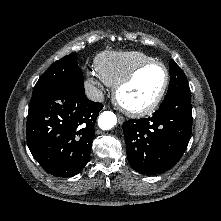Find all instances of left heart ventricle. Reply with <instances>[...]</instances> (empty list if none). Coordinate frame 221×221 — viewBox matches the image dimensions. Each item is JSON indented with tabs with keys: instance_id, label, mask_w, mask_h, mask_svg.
<instances>
[{
	"instance_id": "1",
	"label": "left heart ventricle",
	"mask_w": 221,
	"mask_h": 221,
	"mask_svg": "<svg viewBox=\"0 0 221 221\" xmlns=\"http://www.w3.org/2000/svg\"><path fill=\"white\" fill-rule=\"evenodd\" d=\"M164 76V71L159 66H151L142 70L132 83L121 90V100L132 108L148 105L160 91Z\"/></svg>"
}]
</instances>
